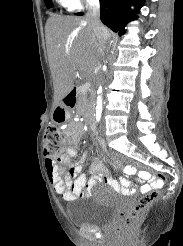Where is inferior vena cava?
I'll return each mask as SVG.
<instances>
[{
  "label": "inferior vena cava",
  "mask_w": 183,
  "mask_h": 246,
  "mask_svg": "<svg viewBox=\"0 0 183 246\" xmlns=\"http://www.w3.org/2000/svg\"><path fill=\"white\" fill-rule=\"evenodd\" d=\"M86 19L92 27L94 34L104 43L109 39L106 27L100 21V3L99 0H87ZM101 67V64H99Z\"/></svg>",
  "instance_id": "602c4592"
}]
</instances>
